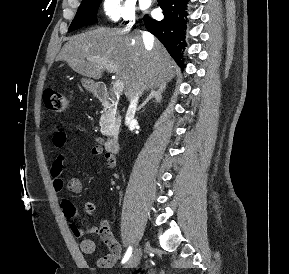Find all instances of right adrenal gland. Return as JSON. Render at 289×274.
<instances>
[{"label": "right adrenal gland", "instance_id": "2a0ac1e0", "mask_svg": "<svg viewBox=\"0 0 289 274\" xmlns=\"http://www.w3.org/2000/svg\"><path fill=\"white\" fill-rule=\"evenodd\" d=\"M166 86H162L159 87L156 91L152 90L151 93L149 94V96L146 98V100L138 107V111L141 108H144L146 106V104L151 100V99H155V101L157 103H161L162 102V93L165 91Z\"/></svg>", "mask_w": 289, "mask_h": 274}]
</instances>
